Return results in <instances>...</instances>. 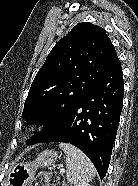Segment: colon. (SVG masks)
I'll use <instances>...</instances> for the list:
<instances>
[{"mask_svg":"<svg viewBox=\"0 0 138 186\" xmlns=\"http://www.w3.org/2000/svg\"><path fill=\"white\" fill-rule=\"evenodd\" d=\"M32 186H66L62 175L54 171H42L36 178Z\"/></svg>","mask_w":138,"mask_h":186,"instance_id":"1","label":"colon"}]
</instances>
